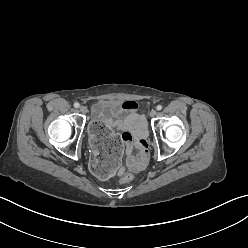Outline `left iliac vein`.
Wrapping results in <instances>:
<instances>
[{"label":"left iliac vein","mask_w":248,"mask_h":248,"mask_svg":"<svg viewBox=\"0 0 248 248\" xmlns=\"http://www.w3.org/2000/svg\"><path fill=\"white\" fill-rule=\"evenodd\" d=\"M156 110L152 109L149 113L150 117H154L156 115Z\"/></svg>","instance_id":"1"}]
</instances>
